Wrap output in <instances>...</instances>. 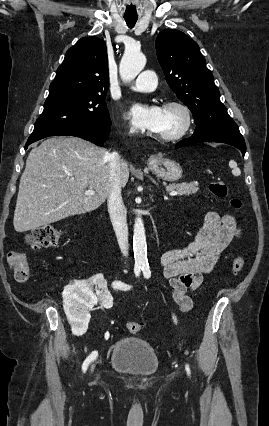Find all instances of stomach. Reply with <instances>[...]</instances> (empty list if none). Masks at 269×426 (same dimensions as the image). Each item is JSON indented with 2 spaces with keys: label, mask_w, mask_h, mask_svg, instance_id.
Wrapping results in <instances>:
<instances>
[{
  "label": "stomach",
  "mask_w": 269,
  "mask_h": 426,
  "mask_svg": "<svg viewBox=\"0 0 269 426\" xmlns=\"http://www.w3.org/2000/svg\"><path fill=\"white\" fill-rule=\"evenodd\" d=\"M149 167L154 174L166 181H177L183 173L180 164L168 158L157 157L149 162Z\"/></svg>",
  "instance_id": "1"
}]
</instances>
